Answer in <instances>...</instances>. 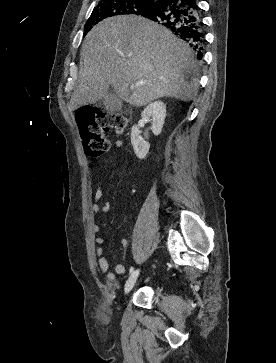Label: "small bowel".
Returning a JSON list of instances; mask_svg holds the SVG:
<instances>
[{
  "mask_svg": "<svg viewBox=\"0 0 276 363\" xmlns=\"http://www.w3.org/2000/svg\"><path fill=\"white\" fill-rule=\"evenodd\" d=\"M122 146L123 142L121 140H116L114 142L115 148H121ZM125 156L129 161H132L133 157L129 150H125ZM94 200L95 202L90 207L92 216H97L101 213L109 211L110 205L108 202L103 201V189L99 184L97 185L96 191L94 193ZM91 228L93 234L95 235V243L98 245L96 248V256L99 268L106 277L107 282L112 285L117 280L118 275H123L127 272V267L123 264H117L114 271H111L108 260L104 256V249L102 247V244L104 243V238L100 235V226L96 223H93ZM120 245L122 247H127V240L122 239L120 241Z\"/></svg>",
  "mask_w": 276,
  "mask_h": 363,
  "instance_id": "c3829d8e",
  "label": "small bowel"
}]
</instances>
